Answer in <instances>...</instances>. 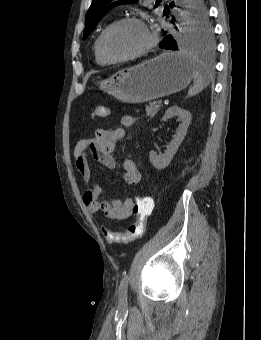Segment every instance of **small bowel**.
I'll return each instance as SVG.
<instances>
[{
  "mask_svg": "<svg viewBox=\"0 0 261 340\" xmlns=\"http://www.w3.org/2000/svg\"><path fill=\"white\" fill-rule=\"evenodd\" d=\"M136 119L130 115L123 116L121 124L123 128L117 129H97L94 137L79 140L74 148L75 167L85 183L91 181V169L88 161V153L97 159L102 165L109 169L117 167L116 159L113 155L116 144L125 135L124 128L134 125ZM122 178L129 185H137L141 180L135 161L126 157L122 161ZM102 187L94 182L92 187L83 195V201L89 212L96 214L101 212L104 216L113 220H124L132 214L133 199L102 200L100 196Z\"/></svg>",
  "mask_w": 261,
  "mask_h": 340,
  "instance_id": "c3829d8e",
  "label": "small bowel"
}]
</instances>
